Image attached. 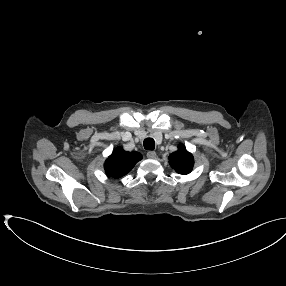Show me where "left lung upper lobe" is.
<instances>
[{
    "label": "left lung upper lobe",
    "mask_w": 286,
    "mask_h": 286,
    "mask_svg": "<svg viewBox=\"0 0 286 286\" xmlns=\"http://www.w3.org/2000/svg\"><path fill=\"white\" fill-rule=\"evenodd\" d=\"M169 164L176 172L188 174L192 171L194 159L193 156L186 151L184 145H180L177 151L170 154Z\"/></svg>",
    "instance_id": "left-lung-upper-lobe-1"
}]
</instances>
